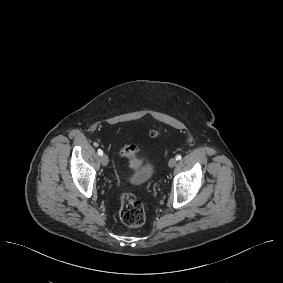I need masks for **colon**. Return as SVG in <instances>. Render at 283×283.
<instances>
[{
  "label": "colon",
  "mask_w": 283,
  "mask_h": 283,
  "mask_svg": "<svg viewBox=\"0 0 283 283\" xmlns=\"http://www.w3.org/2000/svg\"><path fill=\"white\" fill-rule=\"evenodd\" d=\"M159 131L152 130L151 136L158 137ZM136 152L135 146H125L121 154L131 157ZM119 217L128 227L137 228L142 226L146 220V212L143 204L131 193H124L119 198Z\"/></svg>",
  "instance_id": "5ec220e1"
}]
</instances>
